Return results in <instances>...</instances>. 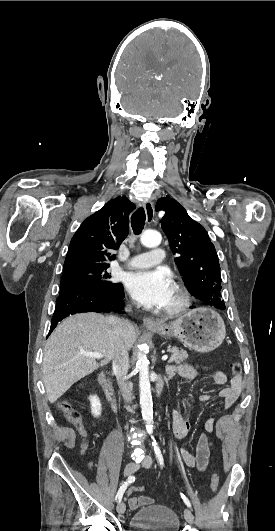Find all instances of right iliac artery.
Listing matches in <instances>:
<instances>
[{"instance_id":"obj_1","label":"right iliac artery","mask_w":275,"mask_h":531,"mask_svg":"<svg viewBox=\"0 0 275 531\" xmlns=\"http://www.w3.org/2000/svg\"><path fill=\"white\" fill-rule=\"evenodd\" d=\"M135 481V477L134 476H130L128 477V479L120 486L118 492H117V495H116V500L118 502L121 501L122 497H123V494L125 492V490L127 489L128 485L132 482Z\"/></svg>"}]
</instances>
